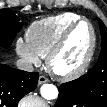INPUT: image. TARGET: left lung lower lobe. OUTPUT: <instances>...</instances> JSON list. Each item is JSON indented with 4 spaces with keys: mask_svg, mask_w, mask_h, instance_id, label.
<instances>
[{
    "mask_svg": "<svg viewBox=\"0 0 107 107\" xmlns=\"http://www.w3.org/2000/svg\"><path fill=\"white\" fill-rule=\"evenodd\" d=\"M55 107H107V62L103 52L87 74L60 85Z\"/></svg>",
    "mask_w": 107,
    "mask_h": 107,
    "instance_id": "1",
    "label": "left lung lower lobe"
}]
</instances>
